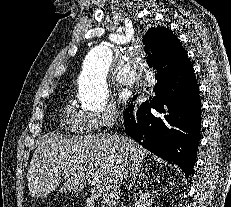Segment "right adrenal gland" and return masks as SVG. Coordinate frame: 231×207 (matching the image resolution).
<instances>
[{"label":"right adrenal gland","mask_w":231,"mask_h":207,"mask_svg":"<svg viewBox=\"0 0 231 207\" xmlns=\"http://www.w3.org/2000/svg\"><path fill=\"white\" fill-rule=\"evenodd\" d=\"M143 171V168H138L136 171H134L133 173H132V177H131V183H130V185H129V187H128V191H130L131 190V188L133 187V185L136 183V180H137V178H139L140 179V177L142 178H144L145 177V175H144V173L142 172Z\"/></svg>","instance_id":"1"}]
</instances>
